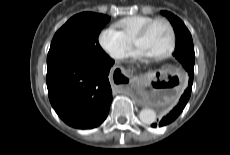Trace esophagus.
Instances as JSON below:
<instances>
[{
  "label": "esophagus",
  "instance_id": "1",
  "mask_svg": "<svg viewBox=\"0 0 230 155\" xmlns=\"http://www.w3.org/2000/svg\"><path fill=\"white\" fill-rule=\"evenodd\" d=\"M121 70H122V73H124V75H126V74H125V71H124L123 69H121ZM126 76H127V75H126Z\"/></svg>",
  "mask_w": 230,
  "mask_h": 155
}]
</instances>
